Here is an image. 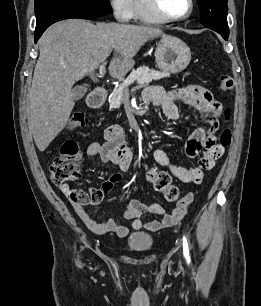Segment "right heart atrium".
<instances>
[{
    "label": "right heart atrium",
    "mask_w": 261,
    "mask_h": 306,
    "mask_svg": "<svg viewBox=\"0 0 261 306\" xmlns=\"http://www.w3.org/2000/svg\"><path fill=\"white\" fill-rule=\"evenodd\" d=\"M114 17L120 22H127L132 18L133 0H109Z\"/></svg>",
    "instance_id": "1"
}]
</instances>
